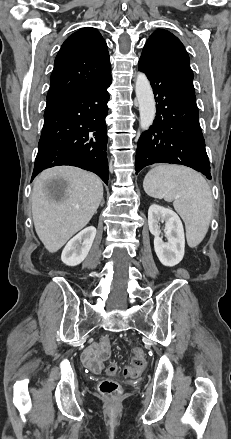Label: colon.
Listing matches in <instances>:
<instances>
[{"label": "colon", "mask_w": 231, "mask_h": 439, "mask_svg": "<svg viewBox=\"0 0 231 439\" xmlns=\"http://www.w3.org/2000/svg\"><path fill=\"white\" fill-rule=\"evenodd\" d=\"M111 352V343L108 338H104L99 345V357L105 360L109 357ZM147 365L146 356L141 348H134L132 350L131 363L124 369V374L129 378H135L141 374ZM117 371V366L111 365L107 369L108 375L112 376ZM99 392L106 397H115L121 391V386L112 378L106 377L98 380L97 383Z\"/></svg>", "instance_id": "1"}]
</instances>
